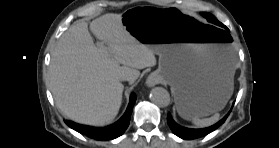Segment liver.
<instances>
[{"label": "liver", "instance_id": "6515ba94", "mask_svg": "<svg viewBox=\"0 0 279 148\" xmlns=\"http://www.w3.org/2000/svg\"><path fill=\"white\" fill-rule=\"evenodd\" d=\"M120 14H105L90 24L78 22L59 39L51 55L49 87L60 111L73 121L102 126L118 114L124 86L139 69L156 65L155 52L122 25Z\"/></svg>", "mask_w": 279, "mask_h": 148}]
</instances>
